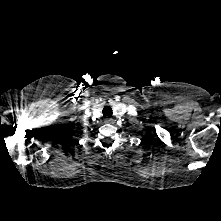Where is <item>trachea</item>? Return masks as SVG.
Here are the masks:
<instances>
[{
  "label": "trachea",
  "instance_id": "obj_1",
  "mask_svg": "<svg viewBox=\"0 0 221 221\" xmlns=\"http://www.w3.org/2000/svg\"><path fill=\"white\" fill-rule=\"evenodd\" d=\"M103 116L104 117H106V116L111 117L112 116V109L109 106H107L103 109Z\"/></svg>",
  "mask_w": 221,
  "mask_h": 221
}]
</instances>
